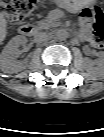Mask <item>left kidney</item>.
Returning <instances> with one entry per match:
<instances>
[{"label": "left kidney", "mask_w": 104, "mask_h": 137, "mask_svg": "<svg viewBox=\"0 0 104 137\" xmlns=\"http://www.w3.org/2000/svg\"><path fill=\"white\" fill-rule=\"evenodd\" d=\"M99 69H103V63H104V60H103V53H100V58L96 61Z\"/></svg>", "instance_id": "obj_1"}]
</instances>
